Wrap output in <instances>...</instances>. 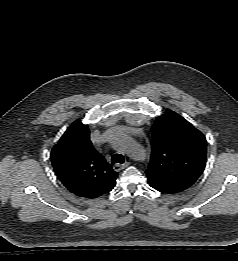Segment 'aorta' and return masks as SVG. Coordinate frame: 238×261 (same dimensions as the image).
Listing matches in <instances>:
<instances>
[{"mask_svg": "<svg viewBox=\"0 0 238 261\" xmlns=\"http://www.w3.org/2000/svg\"><path fill=\"white\" fill-rule=\"evenodd\" d=\"M112 140L119 141L122 150L134 159L144 155L143 149L120 130L113 131Z\"/></svg>", "mask_w": 238, "mask_h": 261, "instance_id": "obj_1", "label": "aorta"}]
</instances>
